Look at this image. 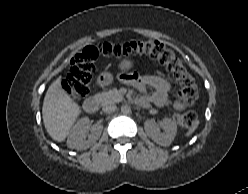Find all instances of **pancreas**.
I'll use <instances>...</instances> for the list:
<instances>
[{"instance_id":"pancreas-1","label":"pancreas","mask_w":248,"mask_h":194,"mask_svg":"<svg viewBox=\"0 0 248 194\" xmlns=\"http://www.w3.org/2000/svg\"><path fill=\"white\" fill-rule=\"evenodd\" d=\"M97 96L100 99L102 105L119 102L123 99V95L117 89L102 92Z\"/></svg>"}]
</instances>
